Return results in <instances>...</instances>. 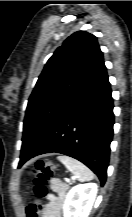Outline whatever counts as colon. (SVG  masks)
<instances>
[{
  "label": "colon",
  "mask_w": 132,
  "mask_h": 217,
  "mask_svg": "<svg viewBox=\"0 0 132 217\" xmlns=\"http://www.w3.org/2000/svg\"><path fill=\"white\" fill-rule=\"evenodd\" d=\"M57 165L49 160H37L33 163L29 174L32 178L33 190L37 197L47 198V182L55 175ZM40 206L32 204L28 207V217H38Z\"/></svg>",
  "instance_id": "colon-1"
}]
</instances>
